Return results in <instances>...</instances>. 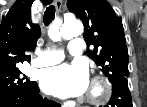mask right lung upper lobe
Segmentation results:
<instances>
[{
    "label": "right lung upper lobe",
    "instance_id": "obj_1",
    "mask_svg": "<svg viewBox=\"0 0 147 107\" xmlns=\"http://www.w3.org/2000/svg\"><path fill=\"white\" fill-rule=\"evenodd\" d=\"M34 0H16L0 25V71L30 61L28 51L34 50L41 35L40 26L30 19ZM48 5L52 0H41Z\"/></svg>",
    "mask_w": 147,
    "mask_h": 107
}]
</instances>
